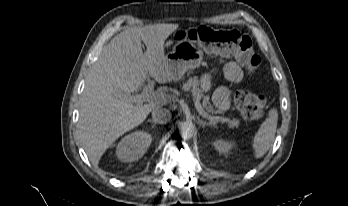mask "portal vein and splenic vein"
I'll return each instance as SVG.
<instances>
[{
  "label": "portal vein and splenic vein",
  "mask_w": 348,
  "mask_h": 206,
  "mask_svg": "<svg viewBox=\"0 0 348 206\" xmlns=\"http://www.w3.org/2000/svg\"><path fill=\"white\" fill-rule=\"evenodd\" d=\"M154 81L150 80L147 86L144 87L143 91L139 95L131 96V95H125V98L141 104L142 102L145 101H167L168 98H170L169 95L163 93V92H154ZM194 104L201 116L204 118H207L211 121L214 122H227L228 119L224 117H219V116H211L207 112L204 111L202 105L200 104V101L198 98L194 97Z\"/></svg>",
  "instance_id": "portal-vein-and-splenic-vein-1"
}]
</instances>
